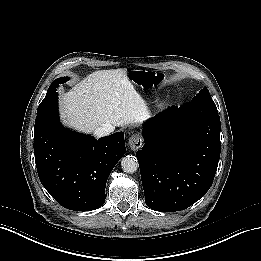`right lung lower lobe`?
<instances>
[{
    "instance_id": "right-lung-lower-lobe-1",
    "label": "right lung lower lobe",
    "mask_w": 261,
    "mask_h": 261,
    "mask_svg": "<svg viewBox=\"0 0 261 261\" xmlns=\"http://www.w3.org/2000/svg\"><path fill=\"white\" fill-rule=\"evenodd\" d=\"M126 151L124 133L96 140L63 128L58 93L37 110L34 154L39 179L63 207L91 211L105 202L107 179Z\"/></svg>"
}]
</instances>
